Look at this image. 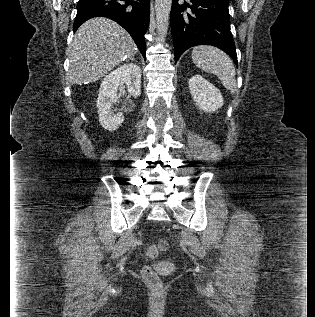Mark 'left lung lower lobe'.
<instances>
[{
	"label": "left lung lower lobe",
	"instance_id": "obj_1",
	"mask_svg": "<svg viewBox=\"0 0 315 317\" xmlns=\"http://www.w3.org/2000/svg\"><path fill=\"white\" fill-rule=\"evenodd\" d=\"M192 5L172 0L170 12L175 62L188 48L207 44L220 48L238 65L230 32L229 0H190ZM189 7L191 10H187Z\"/></svg>",
	"mask_w": 315,
	"mask_h": 317
}]
</instances>
